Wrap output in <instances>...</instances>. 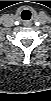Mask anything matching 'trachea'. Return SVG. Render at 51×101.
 Returning <instances> with one entry per match:
<instances>
[{
	"instance_id": "1",
	"label": "trachea",
	"mask_w": 51,
	"mask_h": 101,
	"mask_svg": "<svg viewBox=\"0 0 51 101\" xmlns=\"http://www.w3.org/2000/svg\"><path fill=\"white\" fill-rule=\"evenodd\" d=\"M21 18L23 20H29L31 18V12L29 10L22 11Z\"/></svg>"
}]
</instances>
